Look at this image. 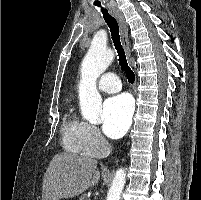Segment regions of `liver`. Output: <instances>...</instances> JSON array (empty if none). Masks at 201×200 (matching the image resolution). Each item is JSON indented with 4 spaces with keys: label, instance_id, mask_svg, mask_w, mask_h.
Masks as SVG:
<instances>
[{
    "label": "liver",
    "instance_id": "obj_1",
    "mask_svg": "<svg viewBox=\"0 0 201 200\" xmlns=\"http://www.w3.org/2000/svg\"><path fill=\"white\" fill-rule=\"evenodd\" d=\"M97 161L71 153L56 154L44 175L42 200H59L80 195L100 180Z\"/></svg>",
    "mask_w": 201,
    "mask_h": 200
}]
</instances>
